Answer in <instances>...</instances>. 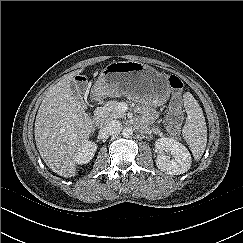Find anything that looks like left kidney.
I'll return each instance as SVG.
<instances>
[{"label":"left kidney","instance_id":"5707ae66","mask_svg":"<svg viewBox=\"0 0 243 243\" xmlns=\"http://www.w3.org/2000/svg\"><path fill=\"white\" fill-rule=\"evenodd\" d=\"M155 146L158 152L156 165L161 171L171 175H179L190 169L191 155L180 142L163 137L156 140Z\"/></svg>","mask_w":243,"mask_h":243}]
</instances>
